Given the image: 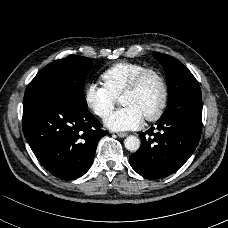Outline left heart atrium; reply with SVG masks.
Here are the masks:
<instances>
[{
    "label": "left heart atrium",
    "instance_id": "obj_1",
    "mask_svg": "<svg viewBox=\"0 0 228 228\" xmlns=\"http://www.w3.org/2000/svg\"><path fill=\"white\" fill-rule=\"evenodd\" d=\"M143 119L144 116L136 108L125 106L108 113L104 118V124L114 131H127L138 128Z\"/></svg>",
    "mask_w": 228,
    "mask_h": 228
}]
</instances>
